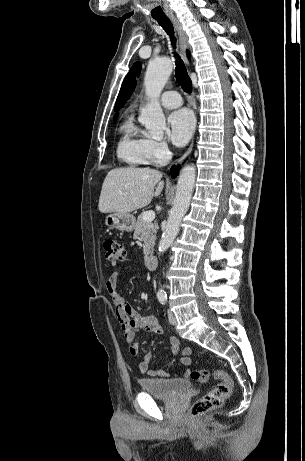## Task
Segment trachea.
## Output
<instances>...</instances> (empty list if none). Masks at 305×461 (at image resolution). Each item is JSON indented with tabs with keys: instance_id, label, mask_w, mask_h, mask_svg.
Listing matches in <instances>:
<instances>
[{
	"instance_id": "1",
	"label": "trachea",
	"mask_w": 305,
	"mask_h": 461,
	"mask_svg": "<svg viewBox=\"0 0 305 461\" xmlns=\"http://www.w3.org/2000/svg\"><path fill=\"white\" fill-rule=\"evenodd\" d=\"M160 26L166 31V33L170 36L171 44L175 48L176 44V38L174 37V29L173 26L170 22V20L167 17L164 18H154ZM175 63H176V68H175V77L178 85L181 86V88L187 92L191 93L192 92V82L191 79L187 73L186 67L180 56L175 53Z\"/></svg>"
}]
</instances>
